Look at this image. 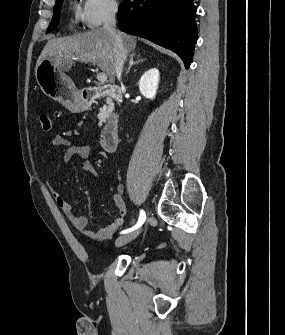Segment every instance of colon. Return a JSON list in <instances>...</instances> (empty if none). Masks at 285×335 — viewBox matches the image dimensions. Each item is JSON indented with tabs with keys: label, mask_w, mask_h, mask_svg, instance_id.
I'll list each match as a JSON object with an SVG mask.
<instances>
[{
	"label": "colon",
	"mask_w": 285,
	"mask_h": 335,
	"mask_svg": "<svg viewBox=\"0 0 285 335\" xmlns=\"http://www.w3.org/2000/svg\"><path fill=\"white\" fill-rule=\"evenodd\" d=\"M39 122L42 130L48 132L51 129V118L50 116L43 112L39 115Z\"/></svg>",
	"instance_id": "5ec220e1"
}]
</instances>
